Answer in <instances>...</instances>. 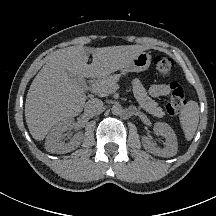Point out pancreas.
Returning a JSON list of instances; mask_svg holds the SVG:
<instances>
[{
  "instance_id": "obj_1",
  "label": "pancreas",
  "mask_w": 216,
  "mask_h": 216,
  "mask_svg": "<svg viewBox=\"0 0 216 216\" xmlns=\"http://www.w3.org/2000/svg\"><path fill=\"white\" fill-rule=\"evenodd\" d=\"M119 78V74H115L113 76H103L95 81L93 88H99L101 91L96 93L101 96H106L115 90V86H117V81L119 80ZM132 84L134 96L140 107L143 108L146 112L152 114L153 116L159 118L163 117V109L158 106L157 102L152 100L147 95V92L141 82L138 79H134Z\"/></svg>"
}]
</instances>
